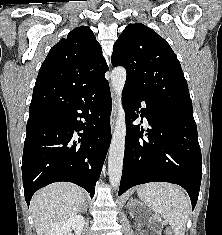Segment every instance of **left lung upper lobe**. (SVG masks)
<instances>
[{"label":"left lung upper lobe","mask_w":222,"mask_h":235,"mask_svg":"<svg viewBox=\"0 0 222 235\" xmlns=\"http://www.w3.org/2000/svg\"><path fill=\"white\" fill-rule=\"evenodd\" d=\"M111 62L126 68L125 85L146 99L193 115L179 60L167 41L149 27L129 24L114 44Z\"/></svg>","instance_id":"1"}]
</instances>
